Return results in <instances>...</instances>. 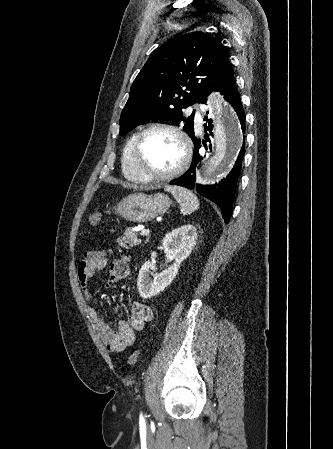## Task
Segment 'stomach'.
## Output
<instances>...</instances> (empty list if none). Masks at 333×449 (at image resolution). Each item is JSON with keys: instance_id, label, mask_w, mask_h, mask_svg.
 <instances>
[{"instance_id": "1", "label": "stomach", "mask_w": 333, "mask_h": 449, "mask_svg": "<svg viewBox=\"0 0 333 449\" xmlns=\"http://www.w3.org/2000/svg\"><path fill=\"white\" fill-rule=\"evenodd\" d=\"M170 205L169 197L163 193L153 195L135 193L114 206L113 212L126 221L144 223L164 214Z\"/></svg>"}]
</instances>
